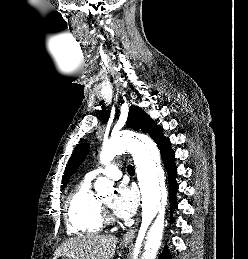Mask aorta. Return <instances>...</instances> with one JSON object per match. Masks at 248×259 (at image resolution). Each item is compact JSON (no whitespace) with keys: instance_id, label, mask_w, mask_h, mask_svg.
<instances>
[{"instance_id":"aorta-1","label":"aorta","mask_w":248,"mask_h":259,"mask_svg":"<svg viewBox=\"0 0 248 259\" xmlns=\"http://www.w3.org/2000/svg\"><path fill=\"white\" fill-rule=\"evenodd\" d=\"M126 151H131L133 154L142 200V224L135 255L138 257L142 238L146 233L144 252L140 259H155L163 236L164 204L167 199L160 153L149 137L123 134L112 136L103 143L100 162L104 165L109 164L116 155ZM112 186L113 183L105 177L97 178L94 184L99 194L109 191Z\"/></svg>"}]
</instances>
